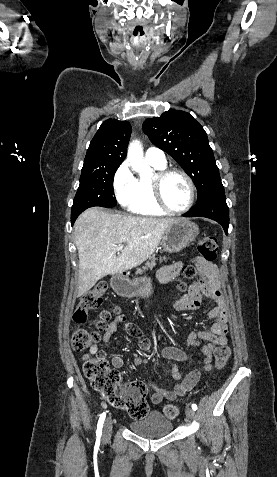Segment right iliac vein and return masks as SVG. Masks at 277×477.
<instances>
[{
  "instance_id": "1",
  "label": "right iliac vein",
  "mask_w": 277,
  "mask_h": 477,
  "mask_svg": "<svg viewBox=\"0 0 277 477\" xmlns=\"http://www.w3.org/2000/svg\"><path fill=\"white\" fill-rule=\"evenodd\" d=\"M113 427V421L111 417H108L104 423L102 440L108 441L111 437Z\"/></svg>"
}]
</instances>
